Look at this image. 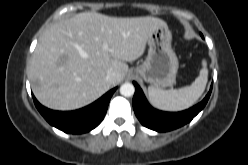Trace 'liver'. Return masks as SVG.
<instances>
[{"label": "liver", "mask_w": 248, "mask_h": 165, "mask_svg": "<svg viewBox=\"0 0 248 165\" xmlns=\"http://www.w3.org/2000/svg\"><path fill=\"white\" fill-rule=\"evenodd\" d=\"M166 26L156 17L117 18L96 12L55 23L42 34L31 59L36 99L62 111L94 102L124 79L126 62L142 56L152 32ZM110 71L116 73L113 83L105 79Z\"/></svg>", "instance_id": "1"}]
</instances>
